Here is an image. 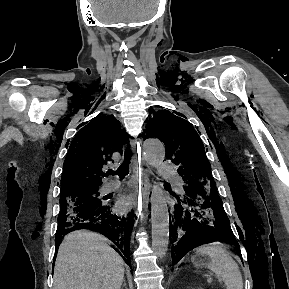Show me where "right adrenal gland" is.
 Wrapping results in <instances>:
<instances>
[{"label":"right adrenal gland","instance_id":"2a0ac1e0","mask_svg":"<svg viewBox=\"0 0 289 289\" xmlns=\"http://www.w3.org/2000/svg\"><path fill=\"white\" fill-rule=\"evenodd\" d=\"M123 287H125V289H127L125 280L123 281L122 288H123Z\"/></svg>","mask_w":289,"mask_h":289}]
</instances>
